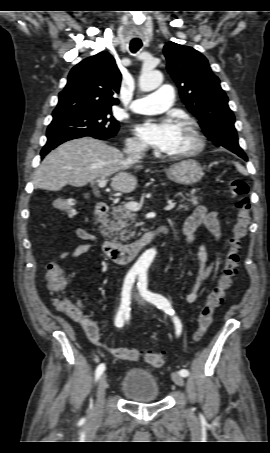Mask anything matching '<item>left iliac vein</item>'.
Returning a JSON list of instances; mask_svg holds the SVG:
<instances>
[{
    "label": "left iliac vein",
    "mask_w": 270,
    "mask_h": 453,
    "mask_svg": "<svg viewBox=\"0 0 270 453\" xmlns=\"http://www.w3.org/2000/svg\"><path fill=\"white\" fill-rule=\"evenodd\" d=\"M134 298L138 302V304H140L142 306L145 305L144 299L138 293H134ZM171 378L176 385H178L180 387L184 386V378L179 373L172 372Z\"/></svg>",
    "instance_id": "4c4485c4"
}]
</instances>
